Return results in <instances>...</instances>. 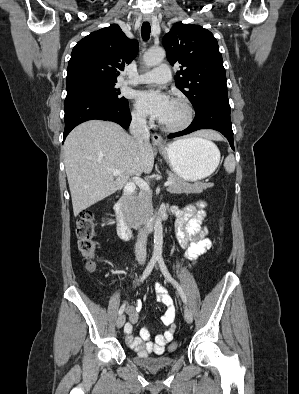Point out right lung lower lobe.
Listing matches in <instances>:
<instances>
[{
  "label": "right lung lower lobe",
  "mask_w": 299,
  "mask_h": 394,
  "mask_svg": "<svg viewBox=\"0 0 299 394\" xmlns=\"http://www.w3.org/2000/svg\"><path fill=\"white\" fill-rule=\"evenodd\" d=\"M64 111V140L74 127L88 120L113 121L125 129L131 122L128 102L117 105L108 97L98 94L84 93L66 96Z\"/></svg>",
  "instance_id": "right-lung-lower-lobe-1"
}]
</instances>
